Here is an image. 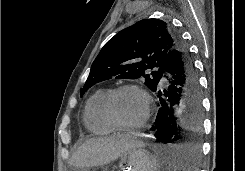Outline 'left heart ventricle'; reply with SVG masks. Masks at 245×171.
I'll return each instance as SVG.
<instances>
[{"label":"left heart ventricle","mask_w":245,"mask_h":171,"mask_svg":"<svg viewBox=\"0 0 245 171\" xmlns=\"http://www.w3.org/2000/svg\"><path fill=\"white\" fill-rule=\"evenodd\" d=\"M112 108L120 122L127 125H134L143 119L146 102L142 94L138 91L125 90L115 96Z\"/></svg>","instance_id":"1"}]
</instances>
